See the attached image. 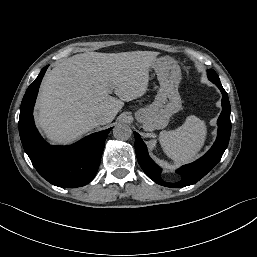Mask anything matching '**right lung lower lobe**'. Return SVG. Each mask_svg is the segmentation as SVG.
Listing matches in <instances>:
<instances>
[{"label": "right lung lower lobe", "instance_id": "obj_1", "mask_svg": "<svg viewBox=\"0 0 257 257\" xmlns=\"http://www.w3.org/2000/svg\"><path fill=\"white\" fill-rule=\"evenodd\" d=\"M47 67L41 70L23 97L19 116L21 142L33 166L44 179L62 188L81 187L96 175L111 128L91 134L70 146H51L45 142L35 127L33 107Z\"/></svg>", "mask_w": 257, "mask_h": 257}]
</instances>
